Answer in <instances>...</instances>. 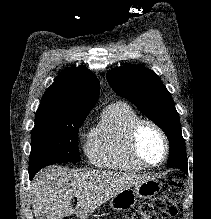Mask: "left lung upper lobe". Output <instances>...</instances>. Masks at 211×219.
Listing matches in <instances>:
<instances>
[{"mask_svg":"<svg viewBox=\"0 0 211 219\" xmlns=\"http://www.w3.org/2000/svg\"><path fill=\"white\" fill-rule=\"evenodd\" d=\"M107 80L118 95L131 101L141 113L165 132L170 151L177 152L183 161H187L179 114L171 94L160 78L150 69L125 65L110 70Z\"/></svg>","mask_w":211,"mask_h":219,"instance_id":"1","label":"left lung upper lobe"}]
</instances>
